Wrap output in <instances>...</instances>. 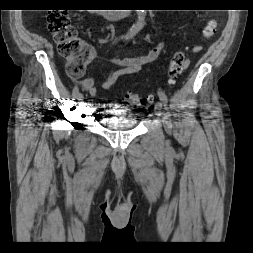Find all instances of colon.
<instances>
[{
    "mask_svg": "<svg viewBox=\"0 0 253 253\" xmlns=\"http://www.w3.org/2000/svg\"><path fill=\"white\" fill-rule=\"evenodd\" d=\"M216 23L211 20L202 30L204 38H210L215 31ZM48 29L52 32L61 56L67 60V72L72 78H78L84 74L86 66L95 58L94 50L76 34L70 16L65 11H53L48 16ZM195 48V47H194ZM192 49L193 52L195 51ZM188 55L186 50L176 51L170 61L166 83L168 86L188 67ZM125 99L132 105L144 106L153 102V97H142L133 92H127Z\"/></svg>",
    "mask_w": 253,
    "mask_h": 253,
    "instance_id": "5ec220e1",
    "label": "colon"
}]
</instances>
